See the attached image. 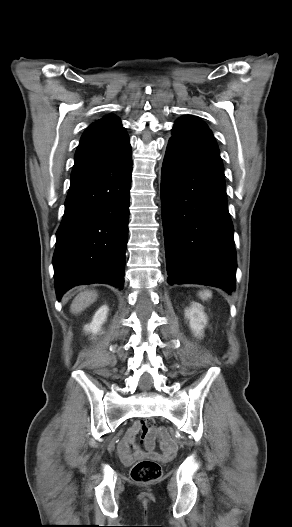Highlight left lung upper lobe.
Wrapping results in <instances>:
<instances>
[{
    "label": "left lung upper lobe",
    "mask_w": 292,
    "mask_h": 527,
    "mask_svg": "<svg viewBox=\"0 0 292 527\" xmlns=\"http://www.w3.org/2000/svg\"><path fill=\"white\" fill-rule=\"evenodd\" d=\"M173 136L169 142L183 144L187 147L219 155L215 138L208 126L199 119L185 116L178 119L172 129Z\"/></svg>",
    "instance_id": "obj_1"
}]
</instances>
